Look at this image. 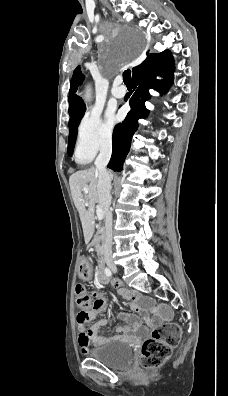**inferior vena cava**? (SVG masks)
<instances>
[{
    "instance_id": "1",
    "label": "inferior vena cava",
    "mask_w": 228,
    "mask_h": 396,
    "mask_svg": "<svg viewBox=\"0 0 228 396\" xmlns=\"http://www.w3.org/2000/svg\"><path fill=\"white\" fill-rule=\"evenodd\" d=\"M111 153L112 143L111 141H105L101 145L100 153L95 160V166L99 172L97 189L105 216V255H111L112 253V213L110 211V205L112 201L111 176L106 169L111 157Z\"/></svg>"
}]
</instances>
